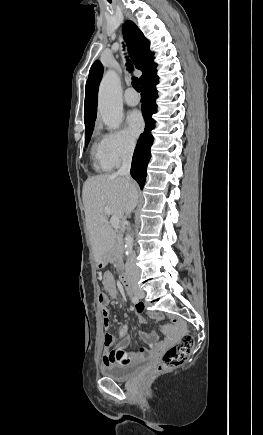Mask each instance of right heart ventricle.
Here are the masks:
<instances>
[{
    "label": "right heart ventricle",
    "mask_w": 263,
    "mask_h": 435,
    "mask_svg": "<svg viewBox=\"0 0 263 435\" xmlns=\"http://www.w3.org/2000/svg\"><path fill=\"white\" fill-rule=\"evenodd\" d=\"M93 167L98 172H108L114 165L109 160L102 139H95L90 150Z\"/></svg>",
    "instance_id": "e07e8e85"
}]
</instances>
